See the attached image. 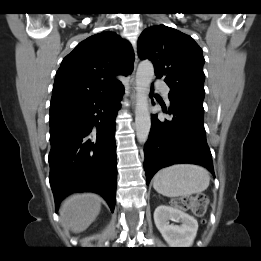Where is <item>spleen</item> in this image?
Returning a JSON list of instances; mask_svg holds the SVG:
<instances>
[{"label":"spleen","mask_w":261,"mask_h":261,"mask_svg":"<svg viewBox=\"0 0 261 261\" xmlns=\"http://www.w3.org/2000/svg\"><path fill=\"white\" fill-rule=\"evenodd\" d=\"M209 172L198 165L177 164L158 171L154 176V189L167 197L189 196L206 190Z\"/></svg>","instance_id":"obj_1"}]
</instances>
